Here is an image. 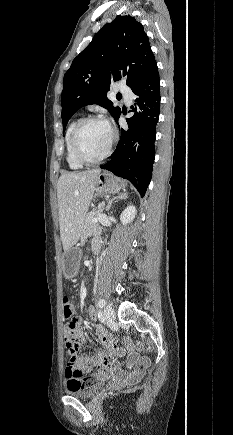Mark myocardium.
<instances>
[{
	"mask_svg": "<svg viewBox=\"0 0 233 435\" xmlns=\"http://www.w3.org/2000/svg\"><path fill=\"white\" fill-rule=\"evenodd\" d=\"M91 122H103L108 126L109 131H110V140H109L106 151L101 156H99L98 158H94V159L87 157L84 154V152L79 144V134H80L82 128L87 123H91ZM115 140H116V134H115L114 130L112 129V127L110 126V124L101 116L91 115V116H87L85 118L80 119L77 122V124L75 125L73 132H72V136H71V146H72L73 154L79 162H81L84 165H96V164H99L102 161H104L111 154Z\"/></svg>",
	"mask_w": 233,
	"mask_h": 435,
	"instance_id": "obj_1",
	"label": "myocardium"
}]
</instances>
